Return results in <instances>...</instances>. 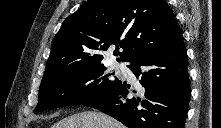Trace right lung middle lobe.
<instances>
[{"label":"right lung middle lobe","mask_w":221,"mask_h":128,"mask_svg":"<svg viewBox=\"0 0 221 128\" xmlns=\"http://www.w3.org/2000/svg\"><path fill=\"white\" fill-rule=\"evenodd\" d=\"M105 70L101 61L93 60H79L46 70L35 111L83 104L108 93L121 81L113 78L114 73L103 76Z\"/></svg>","instance_id":"obj_1"}]
</instances>
